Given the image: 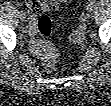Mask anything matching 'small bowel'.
I'll return each instance as SVG.
<instances>
[{
	"label": "small bowel",
	"mask_w": 111,
	"mask_h": 106,
	"mask_svg": "<svg viewBox=\"0 0 111 106\" xmlns=\"http://www.w3.org/2000/svg\"><path fill=\"white\" fill-rule=\"evenodd\" d=\"M63 2L65 1H60V0L29 1L28 6L34 14H37L40 11H54Z\"/></svg>",
	"instance_id": "c3829d8e"
}]
</instances>
